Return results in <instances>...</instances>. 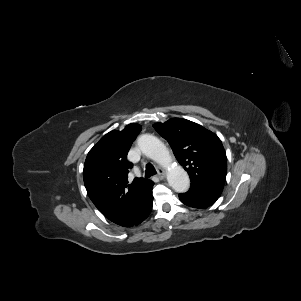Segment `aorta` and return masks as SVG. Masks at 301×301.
Here are the masks:
<instances>
[{
	"label": "aorta",
	"instance_id": "aorta-1",
	"mask_svg": "<svg viewBox=\"0 0 301 301\" xmlns=\"http://www.w3.org/2000/svg\"><path fill=\"white\" fill-rule=\"evenodd\" d=\"M138 146L143 154L166 169L167 181L176 192L183 193L189 189L187 172L181 166L174 165L171 154L157 137L143 134L138 138Z\"/></svg>",
	"mask_w": 301,
	"mask_h": 301
}]
</instances>
